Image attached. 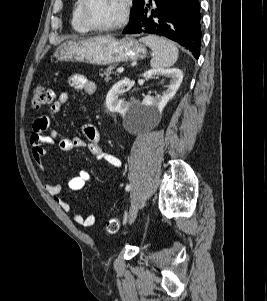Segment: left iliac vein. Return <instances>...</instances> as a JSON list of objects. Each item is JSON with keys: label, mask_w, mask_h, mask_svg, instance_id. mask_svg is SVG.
Listing matches in <instances>:
<instances>
[{"label": "left iliac vein", "mask_w": 267, "mask_h": 301, "mask_svg": "<svg viewBox=\"0 0 267 301\" xmlns=\"http://www.w3.org/2000/svg\"><path fill=\"white\" fill-rule=\"evenodd\" d=\"M137 212H138V204L135 201H133L129 209V217H128L129 224H132L134 222L137 216Z\"/></svg>", "instance_id": "1"}]
</instances>
